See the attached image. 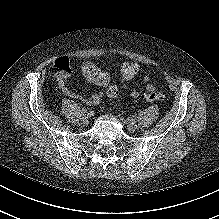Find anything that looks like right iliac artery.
<instances>
[{"instance_id": "right-iliac-artery-1", "label": "right iliac artery", "mask_w": 219, "mask_h": 219, "mask_svg": "<svg viewBox=\"0 0 219 219\" xmlns=\"http://www.w3.org/2000/svg\"><path fill=\"white\" fill-rule=\"evenodd\" d=\"M81 113H83V114L87 113V109L86 108H82L81 109Z\"/></svg>"}]
</instances>
